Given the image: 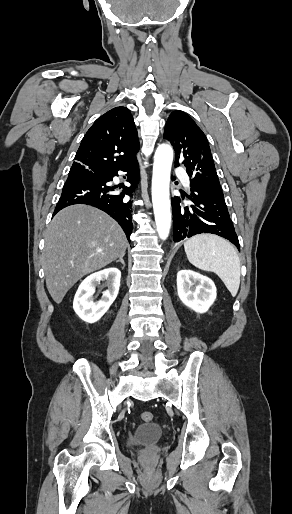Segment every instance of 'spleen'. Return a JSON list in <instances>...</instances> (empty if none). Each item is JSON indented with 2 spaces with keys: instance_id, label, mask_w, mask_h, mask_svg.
<instances>
[{
  "instance_id": "obj_1",
  "label": "spleen",
  "mask_w": 292,
  "mask_h": 514,
  "mask_svg": "<svg viewBox=\"0 0 292 514\" xmlns=\"http://www.w3.org/2000/svg\"><path fill=\"white\" fill-rule=\"evenodd\" d=\"M184 250L190 264L217 274L231 296H236L240 286V260L232 244L214 234H197L185 242Z\"/></svg>"
}]
</instances>
